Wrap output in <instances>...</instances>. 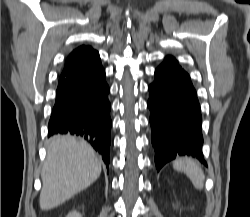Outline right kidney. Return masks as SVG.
Here are the masks:
<instances>
[{"instance_id": "ca27d5eb", "label": "right kidney", "mask_w": 250, "mask_h": 217, "mask_svg": "<svg viewBox=\"0 0 250 217\" xmlns=\"http://www.w3.org/2000/svg\"><path fill=\"white\" fill-rule=\"evenodd\" d=\"M66 217H82V215L77 211H72Z\"/></svg>"}]
</instances>
